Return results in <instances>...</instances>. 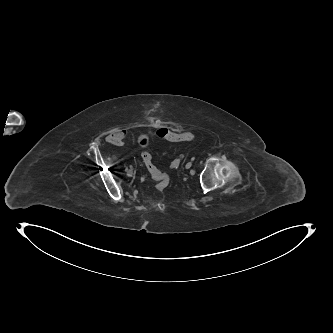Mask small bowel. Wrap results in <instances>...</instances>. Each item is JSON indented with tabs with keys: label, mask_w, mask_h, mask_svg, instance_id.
I'll return each instance as SVG.
<instances>
[{
	"label": "small bowel",
	"mask_w": 333,
	"mask_h": 333,
	"mask_svg": "<svg viewBox=\"0 0 333 333\" xmlns=\"http://www.w3.org/2000/svg\"><path fill=\"white\" fill-rule=\"evenodd\" d=\"M126 138V129L116 128L106 136V141L114 145H122ZM155 139H162L157 135V130H140L137 136H133V140L139 143L144 150L147 149L151 141Z\"/></svg>",
	"instance_id": "obj_1"
}]
</instances>
